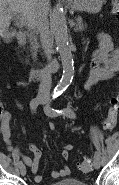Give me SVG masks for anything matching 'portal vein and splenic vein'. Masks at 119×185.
Instances as JSON below:
<instances>
[{
    "mask_svg": "<svg viewBox=\"0 0 119 185\" xmlns=\"http://www.w3.org/2000/svg\"><path fill=\"white\" fill-rule=\"evenodd\" d=\"M19 25L24 26V25H25V22H24L23 20H21V21L19 22Z\"/></svg>",
    "mask_w": 119,
    "mask_h": 185,
    "instance_id": "1",
    "label": "portal vein and splenic vein"
}]
</instances>
